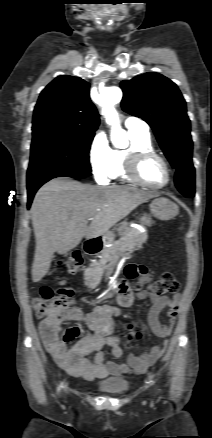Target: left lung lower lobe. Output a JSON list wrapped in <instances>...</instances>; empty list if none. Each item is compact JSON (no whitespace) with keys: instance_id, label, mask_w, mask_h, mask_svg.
<instances>
[{"instance_id":"0a47b994","label":"left lung lower lobe","mask_w":212,"mask_h":438,"mask_svg":"<svg viewBox=\"0 0 212 438\" xmlns=\"http://www.w3.org/2000/svg\"><path fill=\"white\" fill-rule=\"evenodd\" d=\"M175 184L178 190L187 197H194L195 193V169L192 158H188L177 165Z\"/></svg>"}]
</instances>
